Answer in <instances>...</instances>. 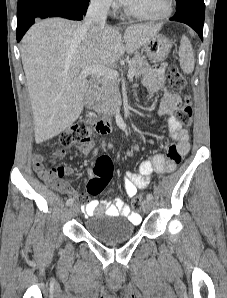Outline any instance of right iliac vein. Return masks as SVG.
Listing matches in <instances>:
<instances>
[{"label": "right iliac vein", "mask_w": 227, "mask_h": 298, "mask_svg": "<svg viewBox=\"0 0 227 298\" xmlns=\"http://www.w3.org/2000/svg\"><path fill=\"white\" fill-rule=\"evenodd\" d=\"M69 211H70V214L72 216H77L78 213H79V211H80V209H79V207L77 205H71Z\"/></svg>", "instance_id": "63e3f726"}]
</instances>
